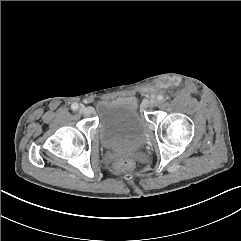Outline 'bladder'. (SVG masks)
Returning a JSON list of instances; mask_svg holds the SVG:
<instances>
[{
  "label": "bladder",
  "mask_w": 241,
  "mask_h": 241,
  "mask_svg": "<svg viewBox=\"0 0 241 241\" xmlns=\"http://www.w3.org/2000/svg\"><path fill=\"white\" fill-rule=\"evenodd\" d=\"M97 131L105 147L120 153H135L147 140L146 123L135 107L122 100L99 105Z\"/></svg>",
  "instance_id": "1"
}]
</instances>
